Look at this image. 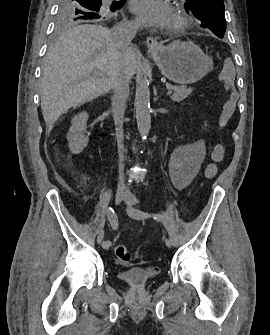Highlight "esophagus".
<instances>
[{
    "instance_id": "1",
    "label": "esophagus",
    "mask_w": 270,
    "mask_h": 335,
    "mask_svg": "<svg viewBox=\"0 0 270 335\" xmlns=\"http://www.w3.org/2000/svg\"><path fill=\"white\" fill-rule=\"evenodd\" d=\"M146 45L150 50H158L160 48V44L155 37H148L146 39Z\"/></svg>"
}]
</instances>
